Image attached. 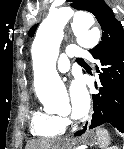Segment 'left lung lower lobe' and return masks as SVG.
I'll return each mask as SVG.
<instances>
[{"instance_id": "left-lung-lower-lobe-1", "label": "left lung lower lobe", "mask_w": 124, "mask_h": 149, "mask_svg": "<svg viewBox=\"0 0 124 149\" xmlns=\"http://www.w3.org/2000/svg\"><path fill=\"white\" fill-rule=\"evenodd\" d=\"M91 54L100 64L96 66L99 81L95 88L99 93L92 95L94 114L90 129L110 124L124 133V44Z\"/></svg>"}]
</instances>
